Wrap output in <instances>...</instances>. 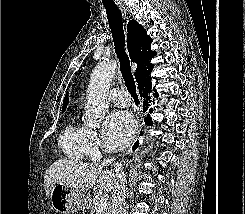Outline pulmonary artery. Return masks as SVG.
<instances>
[{
	"label": "pulmonary artery",
	"instance_id": "1",
	"mask_svg": "<svg viewBox=\"0 0 245 214\" xmlns=\"http://www.w3.org/2000/svg\"><path fill=\"white\" fill-rule=\"evenodd\" d=\"M109 97L116 105L119 106L128 107L131 104V96L124 89H112Z\"/></svg>",
	"mask_w": 245,
	"mask_h": 214
}]
</instances>
